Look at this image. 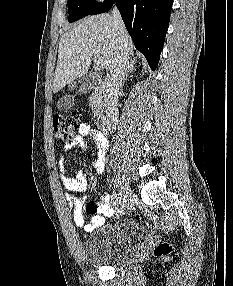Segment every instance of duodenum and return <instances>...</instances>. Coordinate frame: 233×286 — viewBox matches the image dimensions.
<instances>
[{"label": "duodenum", "instance_id": "duodenum-1", "mask_svg": "<svg viewBox=\"0 0 233 286\" xmlns=\"http://www.w3.org/2000/svg\"><path fill=\"white\" fill-rule=\"evenodd\" d=\"M95 96L97 101L96 121L100 130L103 132H109L110 130V116L105 103V85L99 81L96 83Z\"/></svg>", "mask_w": 233, "mask_h": 286}]
</instances>
